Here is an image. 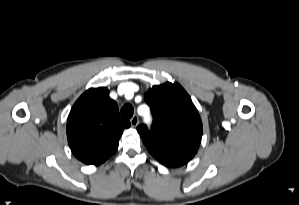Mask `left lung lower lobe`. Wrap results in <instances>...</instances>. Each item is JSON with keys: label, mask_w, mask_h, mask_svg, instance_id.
Masks as SVG:
<instances>
[{"label": "left lung lower lobe", "mask_w": 299, "mask_h": 205, "mask_svg": "<svg viewBox=\"0 0 299 205\" xmlns=\"http://www.w3.org/2000/svg\"><path fill=\"white\" fill-rule=\"evenodd\" d=\"M146 147L156 160L167 167H179L186 164L198 151V147L184 144Z\"/></svg>", "instance_id": "obj_1"}]
</instances>
